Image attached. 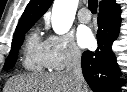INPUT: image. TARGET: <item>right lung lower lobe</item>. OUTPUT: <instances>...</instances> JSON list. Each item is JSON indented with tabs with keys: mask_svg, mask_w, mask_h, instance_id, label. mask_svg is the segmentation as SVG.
<instances>
[{
	"mask_svg": "<svg viewBox=\"0 0 127 92\" xmlns=\"http://www.w3.org/2000/svg\"><path fill=\"white\" fill-rule=\"evenodd\" d=\"M120 7H99L98 48L95 52L85 51L81 65L83 75L94 92H118L122 85L120 69L112 52V43L120 29Z\"/></svg>",
	"mask_w": 127,
	"mask_h": 92,
	"instance_id": "obj_1",
	"label": "right lung lower lobe"
}]
</instances>
